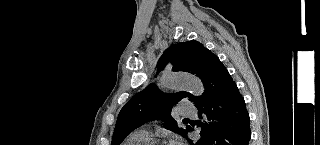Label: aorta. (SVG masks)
<instances>
[{
  "label": "aorta",
  "mask_w": 320,
  "mask_h": 145,
  "mask_svg": "<svg viewBox=\"0 0 320 145\" xmlns=\"http://www.w3.org/2000/svg\"><path fill=\"white\" fill-rule=\"evenodd\" d=\"M160 84L167 89H186L196 96L204 91L199 78L185 73L167 72L161 77Z\"/></svg>",
  "instance_id": "aorta-1"
}]
</instances>
